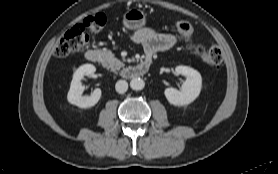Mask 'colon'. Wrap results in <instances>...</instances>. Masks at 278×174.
Instances as JSON below:
<instances>
[{
  "mask_svg": "<svg viewBox=\"0 0 278 174\" xmlns=\"http://www.w3.org/2000/svg\"><path fill=\"white\" fill-rule=\"evenodd\" d=\"M106 23V17L102 13H97L86 17L81 23L69 29L58 41L55 47V56L64 58L68 55L82 50L89 41L87 32H98ZM177 32L187 47L201 58L209 66H219L223 61L221 49L212 45L203 47L193 41V27L187 21H180L176 25Z\"/></svg>",
  "mask_w": 278,
  "mask_h": 174,
  "instance_id": "colon-1",
  "label": "colon"
}]
</instances>
